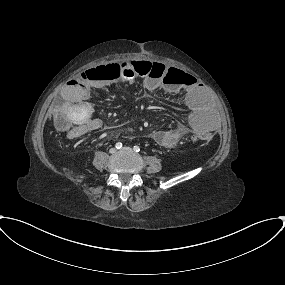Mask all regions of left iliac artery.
<instances>
[{
	"instance_id": "1",
	"label": "left iliac artery",
	"mask_w": 285,
	"mask_h": 285,
	"mask_svg": "<svg viewBox=\"0 0 285 285\" xmlns=\"http://www.w3.org/2000/svg\"><path fill=\"white\" fill-rule=\"evenodd\" d=\"M133 150H134L135 152H139V151H140V148H139V146H134V147H133Z\"/></svg>"
}]
</instances>
